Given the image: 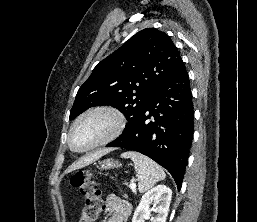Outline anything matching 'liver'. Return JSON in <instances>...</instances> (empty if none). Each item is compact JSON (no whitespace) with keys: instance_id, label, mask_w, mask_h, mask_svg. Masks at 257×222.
I'll use <instances>...</instances> for the list:
<instances>
[{"instance_id":"liver-1","label":"liver","mask_w":257,"mask_h":222,"mask_svg":"<svg viewBox=\"0 0 257 222\" xmlns=\"http://www.w3.org/2000/svg\"><path fill=\"white\" fill-rule=\"evenodd\" d=\"M110 152V149H103L100 151H97L93 154H90L82 159H80L78 162L72 164L69 169L67 170V172H71L74 171L76 169H80L82 167H85L86 165H89L90 163L96 161L97 159H99L100 157H102L103 155L107 154Z\"/></svg>"}]
</instances>
